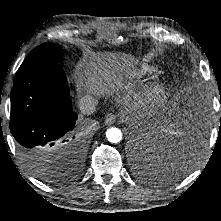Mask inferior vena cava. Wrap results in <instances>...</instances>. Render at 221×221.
I'll return each mask as SVG.
<instances>
[{"mask_svg":"<svg viewBox=\"0 0 221 221\" xmlns=\"http://www.w3.org/2000/svg\"><path fill=\"white\" fill-rule=\"evenodd\" d=\"M78 104L81 113L90 115L96 110L97 100L91 95H85L79 99Z\"/></svg>","mask_w":221,"mask_h":221,"instance_id":"obj_1","label":"inferior vena cava"}]
</instances>
